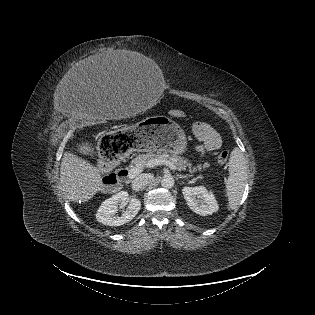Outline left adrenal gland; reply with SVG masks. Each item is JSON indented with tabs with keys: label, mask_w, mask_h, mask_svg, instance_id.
<instances>
[{
	"label": "left adrenal gland",
	"mask_w": 315,
	"mask_h": 315,
	"mask_svg": "<svg viewBox=\"0 0 315 315\" xmlns=\"http://www.w3.org/2000/svg\"><path fill=\"white\" fill-rule=\"evenodd\" d=\"M177 177L182 179V178H188L191 177V175H181V174H177Z\"/></svg>",
	"instance_id": "1"
}]
</instances>
